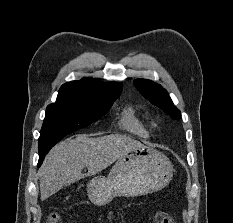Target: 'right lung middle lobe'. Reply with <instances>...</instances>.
Here are the masks:
<instances>
[{"instance_id":"1","label":"right lung middle lobe","mask_w":233,"mask_h":223,"mask_svg":"<svg viewBox=\"0 0 233 223\" xmlns=\"http://www.w3.org/2000/svg\"><path fill=\"white\" fill-rule=\"evenodd\" d=\"M112 104L57 100L56 103L48 105L40 132L39 153L52 148L64 136L104 116Z\"/></svg>"}]
</instances>
